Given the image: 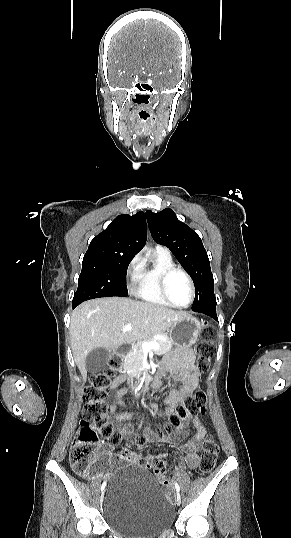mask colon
Here are the masks:
<instances>
[{
    "label": "colon",
    "instance_id": "1",
    "mask_svg": "<svg viewBox=\"0 0 291 538\" xmlns=\"http://www.w3.org/2000/svg\"><path fill=\"white\" fill-rule=\"evenodd\" d=\"M215 331L212 327L205 326L201 332L202 341L196 347L195 364L202 373L208 371L211 358L214 355L213 340ZM123 359L118 354L109 358L108 366L101 372L91 376L90 384L85 389V407L80 421L77 437L69 454V460L74 471L83 477L90 476L95 471H102L104 465L98 462L100 441L106 439L109 442H117L120 434L116 432L113 423L108 418V390L111 388L112 379L116 372L122 368ZM206 395L203 391L188 394L170 415L169 426H181L189 417L206 413ZM139 445L144 444L145 438L139 436L136 439ZM218 456V444L212 435H208L203 443L201 454L200 471L210 472L216 463ZM139 466L143 469H153L158 480L167 485L166 464L163 461L151 463L147 458H141Z\"/></svg>",
    "mask_w": 291,
    "mask_h": 538
}]
</instances>
